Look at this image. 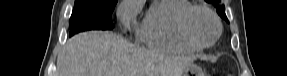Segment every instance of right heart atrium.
<instances>
[{"label":"right heart atrium","instance_id":"right-heart-atrium-1","mask_svg":"<svg viewBox=\"0 0 287 76\" xmlns=\"http://www.w3.org/2000/svg\"><path fill=\"white\" fill-rule=\"evenodd\" d=\"M141 9L139 0H124L118 9V16L123 25L134 23Z\"/></svg>","mask_w":287,"mask_h":76}]
</instances>
